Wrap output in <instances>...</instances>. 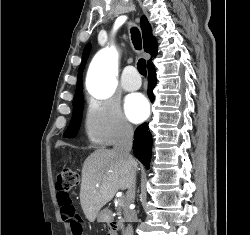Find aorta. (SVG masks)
I'll return each mask as SVG.
<instances>
[{"instance_id":"aorta-1","label":"aorta","mask_w":250,"mask_h":235,"mask_svg":"<svg viewBox=\"0 0 250 235\" xmlns=\"http://www.w3.org/2000/svg\"><path fill=\"white\" fill-rule=\"evenodd\" d=\"M117 68L112 52L106 48L94 58L88 77L89 91L99 98H107L113 92Z\"/></svg>"}]
</instances>
